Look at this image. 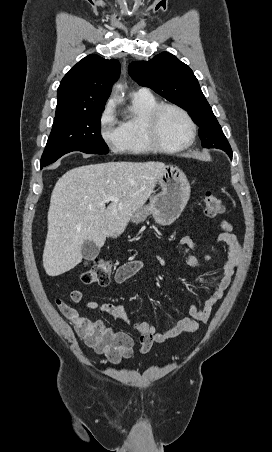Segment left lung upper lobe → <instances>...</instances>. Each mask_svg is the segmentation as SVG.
I'll list each match as a JSON object with an SVG mask.
<instances>
[{
  "instance_id": "5c2ea615",
  "label": "left lung upper lobe",
  "mask_w": 272,
  "mask_h": 452,
  "mask_svg": "<svg viewBox=\"0 0 272 452\" xmlns=\"http://www.w3.org/2000/svg\"><path fill=\"white\" fill-rule=\"evenodd\" d=\"M128 71L139 85L151 88L189 112L200 127L199 136L203 147L222 149L228 154L231 147L197 78L185 63L174 55L163 52L149 61L132 62Z\"/></svg>"
}]
</instances>
